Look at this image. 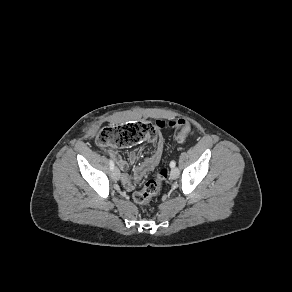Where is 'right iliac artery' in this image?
Returning <instances> with one entry per match:
<instances>
[{
  "mask_svg": "<svg viewBox=\"0 0 292 292\" xmlns=\"http://www.w3.org/2000/svg\"><path fill=\"white\" fill-rule=\"evenodd\" d=\"M109 165H110V169L113 170L114 169V162L112 159L109 160Z\"/></svg>",
  "mask_w": 292,
  "mask_h": 292,
  "instance_id": "right-iliac-artery-1",
  "label": "right iliac artery"
}]
</instances>
